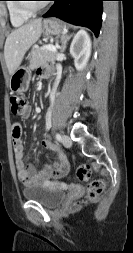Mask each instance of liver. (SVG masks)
Returning <instances> with one entry per match:
<instances>
[{
    "instance_id": "1",
    "label": "liver",
    "mask_w": 133,
    "mask_h": 253,
    "mask_svg": "<svg viewBox=\"0 0 133 253\" xmlns=\"http://www.w3.org/2000/svg\"><path fill=\"white\" fill-rule=\"evenodd\" d=\"M41 33L42 19H36L8 35L4 46V57L10 75L20 66L26 51L39 39Z\"/></svg>"
}]
</instances>
